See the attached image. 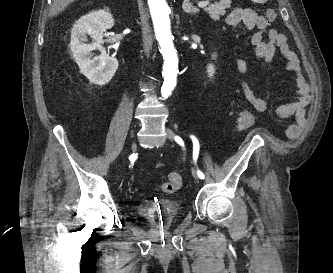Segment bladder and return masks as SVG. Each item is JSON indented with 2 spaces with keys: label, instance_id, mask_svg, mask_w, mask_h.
I'll use <instances>...</instances> for the list:
<instances>
[{
  "label": "bladder",
  "instance_id": "31cf9c89",
  "mask_svg": "<svg viewBox=\"0 0 333 273\" xmlns=\"http://www.w3.org/2000/svg\"><path fill=\"white\" fill-rule=\"evenodd\" d=\"M137 212L156 227H170L180 217V205L175 200L162 199L139 204Z\"/></svg>",
  "mask_w": 333,
  "mask_h": 273
}]
</instances>
